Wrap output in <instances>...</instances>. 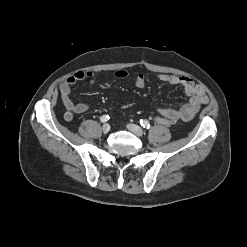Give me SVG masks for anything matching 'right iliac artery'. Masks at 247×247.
<instances>
[{
  "mask_svg": "<svg viewBox=\"0 0 247 247\" xmlns=\"http://www.w3.org/2000/svg\"><path fill=\"white\" fill-rule=\"evenodd\" d=\"M101 122H107L108 120H109V116L108 115H103L102 117H101Z\"/></svg>",
  "mask_w": 247,
  "mask_h": 247,
  "instance_id": "right-iliac-artery-1",
  "label": "right iliac artery"
}]
</instances>
